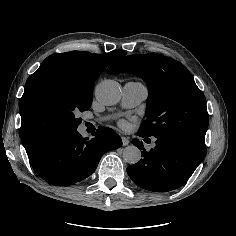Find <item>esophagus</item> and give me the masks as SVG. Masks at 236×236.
I'll return each mask as SVG.
<instances>
[{
  "label": "esophagus",
  "mask_w": 236,
  "mask_h": 236,
  "mask_svg": "<svg viewBox=\"0 0 236 236\" xmlns=\"http://www.w3.org/2000/svg\"><path fill=\"white\" fill-rule=\"evenodd\" d=\"M121 139L124 146L128 145L130 142L128 137L123 136Z\"/></svg>",
  "instance_id": "esophagus-1"
}]
</instances>
